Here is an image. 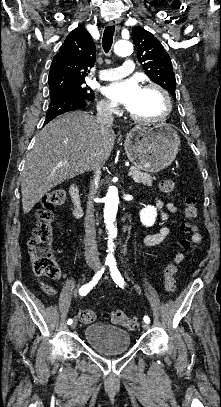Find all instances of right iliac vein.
<instances>
[{
  "instance_id": "1",
  "label": "right iliac vein",
  "mask_w": 221,
  "mask_h": 407,
  "mask_svg": "<svg viewBox=\"0 0 221 407\" xmlns=\"http://www.w3.org/2000/svg\"><path fill=\"white\" fill-rule=\"evenodd\" d=\"M89 268L96 270V268H95L94 266H92V265H89ZM76 327H77V320L74 319L73 322H72V324H71V328H72V329H75Z\"/></svg>"
}]
</instances>
